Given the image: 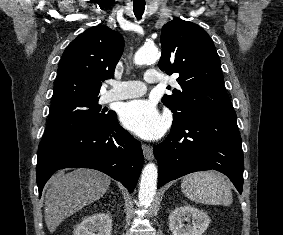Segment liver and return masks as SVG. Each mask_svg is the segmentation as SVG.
Returning <instances> with one entry per match:
<instances>
[{"label":"liver","instance_id":"1","mask_svg":"<svg viewBox=\"0 0 283 235\" xmlns=\"http://www.w3.org/2000/svg\"><path fill=\"white\" fill-rule=\"evenodd\" d=\"M110 182L109 176L86 168L54 175L45 194L44 218L49 232L53 233L65 218L100 199Z\"/></svg>","mask_w":283,"mask_h":235}]
</instances>
